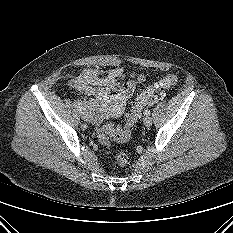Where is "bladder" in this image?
<instances>
[{
    "instance_id": "1",
    "label": "bladder",
    "mask_w": 233,
    "mask_h": 233,
    "mask_svg": "<svg viewBox=\"0 0 233 233\" xmlns=\"http://www.w3.org/2000/svg\"><path fill=\"white\" fill-rule=\"evenodd\" d=\"M86 112L93 123H99L104 117L103 111L95 104L87 105Z\"/></svg>"
}]
</instances>
